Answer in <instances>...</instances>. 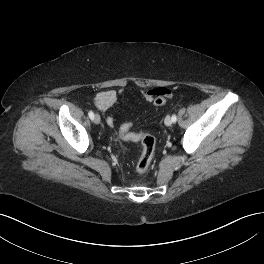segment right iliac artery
I'll list each match as a JSON object with an SVG mask.
<instances>
[{
  "label": "right iliac artery",
  "mask_w": 264,
  "mask_h": 264,
  "mask_svg": "<svg viewBox=\"0 0 264 264\" xmlns=\"http://www.w3.org/2000/svg\"><path fill=\"white\" fill-rule=\"evenodd\" d=\"M88 116H89V118H90L91 120L94 119V113H93L92 111H89V112H88Z\"/></svg>",
  "instance_id": "obj_1"
}]
</instances>
